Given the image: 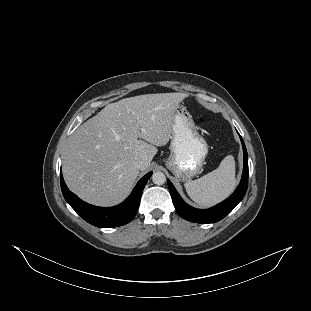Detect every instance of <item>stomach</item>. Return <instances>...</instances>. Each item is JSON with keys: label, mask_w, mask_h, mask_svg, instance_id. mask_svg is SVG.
<instances>
[{"label": "stomach", "mask_w": 311, "mask_h": 311, "mask_svg": "<svg viewBox=\"0 0 311 311\" xmlns=\"http://www.w3.org/2000/svg\"><path fill=\"white\" fill-rule=\"evenodd\" d=\"M169 149L165 167L181 182L191 181L203 169L209 148L184 105H179L176 110Z\"/></svg>", "instance_id": "stomach-1"}]
</instances>
